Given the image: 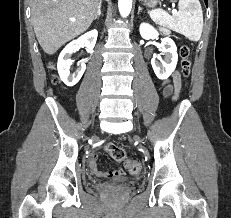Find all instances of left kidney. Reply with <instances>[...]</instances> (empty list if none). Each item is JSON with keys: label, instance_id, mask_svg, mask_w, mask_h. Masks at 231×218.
Segmentation results:
<instances>
[{"label": "left kidney", "instance_id": "1", "mask_svg": "<svg viewBox=\"0 0 231 218\" xmlns=\"http://www.w3.org/2000/svg\"><path fill=\"white\" fill-rule=\"evenodd\" d=\"M139 30L141 37L147 40L155 39L159 35L158 31L147 23H142ZM161 47V55H163V57L160 55L153 57L151 65L156 76L163 80L167 79L175 70L178 61V54L174 41L169 37H165L161 40Z\"/></svg>", "mask_w": 231, "mask_h": 218}]
</instances>
